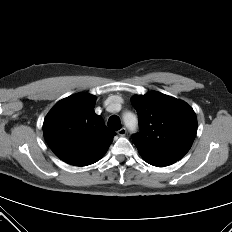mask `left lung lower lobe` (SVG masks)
Masks as SVG:
<instances>
[{"mask_svg": "<svg viewBox=\"0 0 232 232\" xmlns=\"http://www.w3.org/2000/svg\"><path fill=\"white\" fill-rule=\"evenodd\" d=\"M151 165L157 166V167H164L173 164L174 162H166V163H157V162H148Z\"/></svg>", "mask_w": 232, "mask_h": 232, "instance_id": "left-lung-lower-lobe-1", "label": "left lung lower lobe"}]
</instances>
